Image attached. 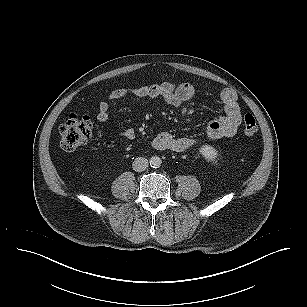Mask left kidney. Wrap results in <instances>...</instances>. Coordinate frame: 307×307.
<instances>
[{"label":"left kidney","instance_id":"obj_1","mask_svg":"<svg viewBox=\"0 0 307 307\" xmlns=\"http://www.w3.org/2000/svg\"><path fill=\"white\" fill-rule=\"evenodd\" d=\"M200 153L208 161H213L218 156V151L210 145H203L200 148Z\"/></svg>","mask_w":307,"mask_h":307}]
</instances>
